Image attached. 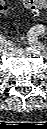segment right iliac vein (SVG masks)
I'll return each instance as SVG.
<instances>
[{
	"mask_svg": "<svg viewBox=\"0 0 47 129\" xmlns=\"http://www.w3.org/2000/svg\"><path fill=\"white\" fill-rule=\"evenodd\" d=\"M8 44L7 43H1V45H0V51L1 52H4V51H6L7 49H8Z\"/></svg>",
	"mask_w": 47,
	"mask_h": 129,
	"instance_id": "right-iliac-vein-1",
	"label": "right iliac vein"
}]
</instances>
